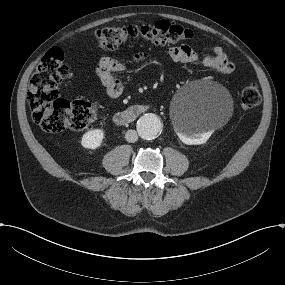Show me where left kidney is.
<instances>
[{
    "label": "left kidney",
    "mask_w": 285,
    "mask_h": 285,
    "mask_svg": "<svg viewBox=\"0 0 285 285\" xmlns=\"http://www.w3.org/2000/svg\"><path fill=\"white\" fill-rule=\"evenodd\" d=\"M212 136V131L201 132L196 137H187L185 136L184 143L186 145H203L206 144Z\"/></svg>",
    "instance_id": "left-kidney-1"
}]
</instances>
